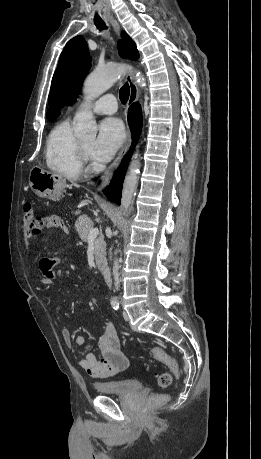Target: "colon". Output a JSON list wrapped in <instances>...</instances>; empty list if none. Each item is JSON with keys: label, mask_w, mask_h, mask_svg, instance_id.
Wrapping results in <instances>:
<instances>
[{"label": "colon", "mask_w": 261, "mask_h": 459, "mask_svg": "<svg viewBox=\"0 0 261 459\" xmlns=\"http://www.w3.org/2000/svg\"><path fill=\"white\" fill-rule=\"evenodd\" d=\"M25 215L23 217V223L21 224L19 231L21 234L26 235V245L29 250H33V235L35 232H40L45 225V220L40 216H34L31 210V204L26 203L24 206ZM151 356L158 361H162L170 368V371H165L157 376V382L160 387H168L173 381L174 375L179 373V365L177 361L168 354L165 350L159 347H154L150 351ZM166 400L164 395H151L148 399L150 406H156Z\"/></svg>", "instance_id": "obj_1"}]
</instances>
